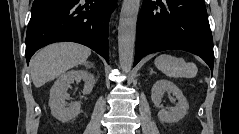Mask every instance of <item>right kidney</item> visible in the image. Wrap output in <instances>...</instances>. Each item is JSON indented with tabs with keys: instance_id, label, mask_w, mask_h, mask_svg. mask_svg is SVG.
<instances>
[{
	"instance_id": "right-kidney-1",
	"label": "right kidney",
	"mask_w": 239,
	"mask_h": 134,
	"mask_svg": "<svg viewBox=\"0 0 239 134\" xmlns=\"http://www.w3.org/2000/svg\"><path fill=\"white\" fill-rule=\"evenodd\" d=\"M84 81L83 94H89L95 84L94 76L86 70H71L63 73L55 81L50 90L49 106L52 115L62 122L75 118L80 113V103L67 105L69 99L68 88L74 81Z\"/></svg>"
}]
</instances>
